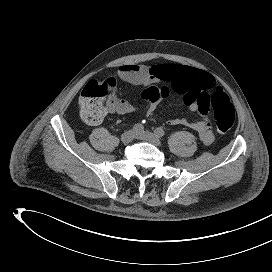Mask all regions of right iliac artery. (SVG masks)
<instances>
[{
	"label": "right iliac artery",
	"mask_w": 272,
	"mask_h": 272,
	"mask_svg": "<svg viewBox=\"0 0 272 272\" xmlns=\"http://www.w3.org/2000/svg\"><path fill=\"white\" fill-rule=\"evenodd\" d=\"M144 130V127L142 124L137 123L133 126V131L138 133V132H142Z\"/></svg>",
	"instance_id": "obj_1"
}]
</instances>
